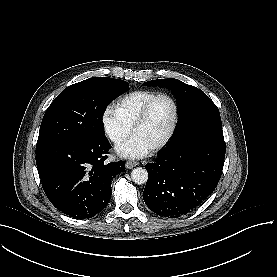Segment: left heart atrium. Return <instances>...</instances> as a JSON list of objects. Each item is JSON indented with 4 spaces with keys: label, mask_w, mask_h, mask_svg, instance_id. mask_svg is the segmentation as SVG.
<instances>
[{
    "label": "left heart atrium",
    "mask_w": 277,
    "mask_h": 277,
    "mask_svg": "<svg viewBox=\"0 0 277 277\" xmlns=\"http://www.w3.org/2000/svg\"><path fill=\"white\" fill-rule=\"evenodd\" d=\"M118 151L123 156L143 158L149 154L148 144L138 136H129L121 141Z\"/></svg>",
    "instance_id": "39dd6f15"
}]
</instances>
